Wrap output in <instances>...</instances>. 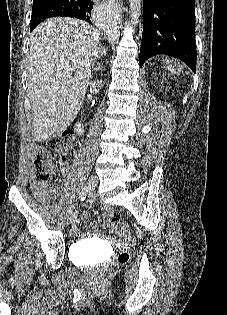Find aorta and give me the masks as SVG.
Masks as SVG:
<instances>
[{
    "label": "aorta",
    "mask_w": 227,
    "mask_h": 315,
    "mask_svg": "<svg viewBox=\"0 0 227 315\" xmlns=\"http://www.w3.org/2000/svg\"><path fill=\"white\" fill-rule=\"evenodd\" d=\"M141 3L142 0H129V7L131 11V22L137 24L141 15ZM106 32L109 35H116L117 30L114 25H108Z\"/></svg>",
    "instance_id": "aorta-1"
}]
</instances>
